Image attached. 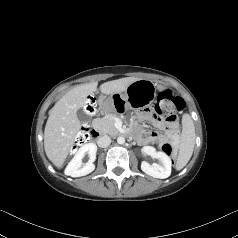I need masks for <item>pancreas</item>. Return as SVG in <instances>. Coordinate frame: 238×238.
Masks as SVG:
<instances>
[{
  "label": "pancreas",
  "mask_w": 238,
  "mask_h": 238,
  "mask_svg": "<svg viewBox=\"0 0 238 238\" xmlns=\"http://www.w3.org/2000/svg\"><path fill=\"white\" fill-rule=\"evenodd\" d=\"M115 116L112 114L106 115L103 118H96L93 121V126L96 130L103 134L115 135L118 130L115 128Z\"/></svg>",
  "instance_id": "pancreas-1"
}]
</instances>
